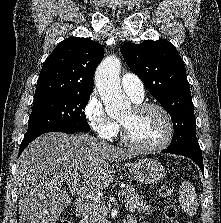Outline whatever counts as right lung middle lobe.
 I'll use <instances>...</instances> for the list:
<instances>
[{
  "instance_id": "dd1d6c3e",
  "label": "right lung middle lobe",
  "mask_w": 221,
  "mask_h": 223,
  "mask_svg": "<svg viewBox=\"0 0 221 223\" xmlns=\"http://www.w3.org/2000/svg\"><path fill=\"white\" fill-rule=\"evenodd\" d=\"M91 93L34 99L26 135L48 129L90 130L83 109Z\"/></svg>"
}]
</instances>
